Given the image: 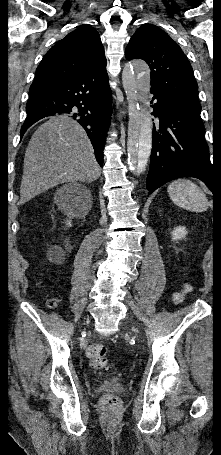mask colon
<instances>
[{"mask_svg": "<svg viewBox=\"0 0 221 455\" xmlns=\"http://www.w3.org/2000/svg\"><path fill=\"white\" fill-rule=\"evenodd\" d=\"M188 288L174 295L173 300L175 303H180L186 296ZM50 307L56 305L55 299L48 301ZM87 356L90 360L91 366L97 369L104 368L108 365L106 348L101 344H92L87 349ZM102 406L108 410L116 411L120 407V400L115 395H105L102 399Z\"/></svg>", "mask_w": 221, "mask_h": 455, "instance_id": "obj_1", "label": "colon"}]
</instances>
